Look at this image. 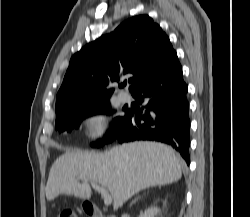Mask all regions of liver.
<instances>
[{"label": "liver", "instance_id": "1", "mask_svg": "<svg viewBox=\"0 0 250 217\" xmlns=\"http://www.w3.org/2000/svg\"><path fill=\"white\" fill-rule=\"evenodd\" d=\"M182 164L175 151L157 142H131L114 146L104 153L71 151L53 163L46 185V198L60 194L89 199L92 191L85 177L106 187L116 210L143 189L178 181Z\"/></svg>", "mask_w": 250, "mask_h": 217}]
</instances>
